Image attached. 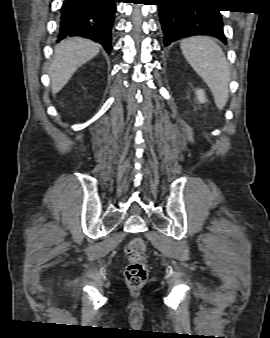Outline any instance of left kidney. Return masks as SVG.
<instances>
[{
	"label": "left kidney",
	"mask_w": 270,
	"mask_h": 338,
	"mask_svg": "<svg viewBox=\"0 0 270 338\" xmlns=\"http://www.w3.org/2000/svg\"><path fill=\"white\" fill-rule=\"evenodd\" d=\"M196 95H197V100L200 103H205L206 102L205 92L202 89H198L196 91Z\"/></svg>",
	"instance_id": "left-kidney-1"
}]
</instances>
